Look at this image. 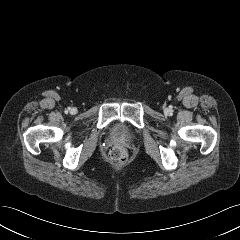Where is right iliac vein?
I'll return each instance as SVG.
<instances>
[{
    "instance_id": "1",
    "label": "right iliac vein",
    "mask_w": 240,
    "mask_h": 240,
    "mask_svg": "<svg viewBox=\"0 0 240 240\" xmlns=\"http://www.w3.org/2000/svg\"><path fill=\"white\" fill-rule=\"evenodd\" d=\"M71 112H72V113H75V112H76V110H75V109H72V110H71Z\"/></svg>"
}]
</instances>
